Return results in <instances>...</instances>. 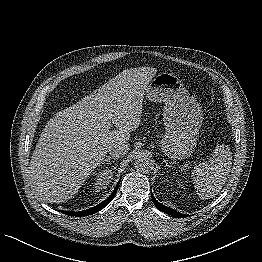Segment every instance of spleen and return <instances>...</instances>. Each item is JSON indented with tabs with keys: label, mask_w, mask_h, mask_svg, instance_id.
<instances>
[{
	"label": "spleen",
	"mask_w": 262,
	"mask_h": 262,
	"mask_svg": "<svg viewBox=\"0 0 262 262\" xmlns=\"http://www.w3.org/2000/svg\"><path fill=\"white\" fill-rule=\"evenodd\" d=\"M231 155L227 145L217 146L208 161L194 167L191 177L201 198L215 195L226 183L232 164Z\"/></svg>",
	"instance_id": "spleen-1"
}]
</instances>
